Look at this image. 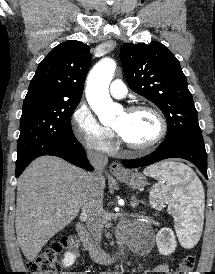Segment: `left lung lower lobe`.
I'll return each instance as SVG.
<instances>
[{
  "label": "left lung lower lobe",
  "instance_id": "0a47b994",
  "mask_svg": "<svg viewBox=\"0 0 215 274\" xmlns=\"http://www.w3.org/2000/svg\"><path fill=\"white\" fill-rule=\"evenodd\" d=\"M167 158H182L192 162L207 177V153L204 142L190 139L165 140L151 154L138 159L123 160L127 168H138Z\"/></svg>",
  "mask_w": 215,
  "mask_h": 274
}]
</instances>
